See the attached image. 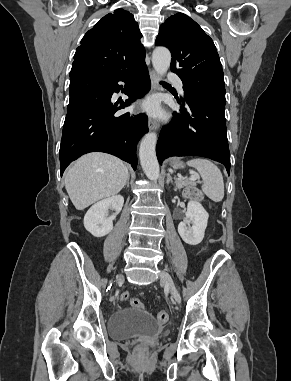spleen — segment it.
Returning a JSON list of instances; mask_svg holds the SVG:
<instances>
[{
	"instance_id": "spleen-1",
	"label": "spleen",
	"mask_w": 291,
	"mask_h": 381,
	"mask_svg": "<svg viewBox=\"0 0 291 381\" xmlns=\"http://www.w3.org/2000/svg\"><path fill=\"white\" fill-rule=\"evenodd\" d=\"M187 165L194 167L203 179L202 191L214 202L222 201L224 197L223 176L219 168L211 161L203 158L189 160Z\"/></svg>"
}]
</instances>
